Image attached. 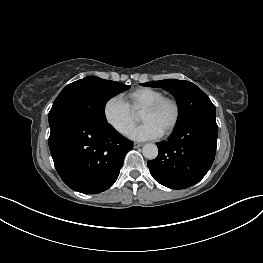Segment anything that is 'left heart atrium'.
<instances>
[{
    "mask_svg": "<svg viewBox=\"0 0 263 263\" xmlns=\"http://www.w3.org/2000/svg\"><path fill=\"white\" fill-rule=\"evenodd\" d=\"M163 135V130L154 122L147 121L132 128L128 136L133 140L144 141L158 139Z\"/></svg>",
    "mask_w": 263,
    "mask_h": 263,
    "instance_id": "left-heart-atrium-1",
    "label": "left heart atrium"
}]
</instances>
